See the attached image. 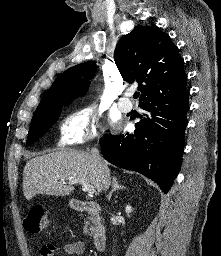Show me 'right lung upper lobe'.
Instances as JSON below:
<instances>
[{
    "instance_id": "cb5924a9",
    "label": "right lung upper lobe",
    "mask_w": 221,
    "mask_h": 256,
    "mask_svg": "<svg viewBox=\"0 0 221 256\" xmlns=\"http://www.w3.org/2000/svg\"><path fill=\"white\" fill-rule=\"evenodd\" d=\"M114 60L125 81L139 83V104L188 91L184 60L171 38L157 26H135L119 40ZM97 68L94 61L69 68L54 81L39 106L58 98L72 101L83 96Z\"/></svg>"
}]
</instances>
